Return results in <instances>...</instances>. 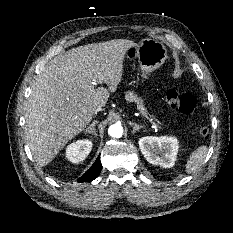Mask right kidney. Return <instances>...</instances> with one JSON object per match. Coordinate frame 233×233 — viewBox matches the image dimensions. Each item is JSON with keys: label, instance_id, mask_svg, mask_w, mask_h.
Wrapping results in <instances>:
<instances>
[{"label": "right kidney", "instance_id": "ca27d5eb", "mask_svg": "<svg viewBox=\"0 0 233 233\" xmlns=\"http://www.w3.org/2000/svg\"><path fill=\"white\" fill-rule=\"evenodd\" d=\"M92 145V141L88 139L73 142L66 148V158L72 163H79L89 155Z\"/></svg>", "mask_w": 233, "mask_h": 233}]
</instances>
